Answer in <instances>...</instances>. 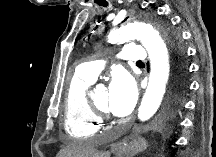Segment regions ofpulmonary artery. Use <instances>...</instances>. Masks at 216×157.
Returning a JSON list of instances; mask_svg holds the SVG:
<instances>
[{
  "label": "pulmonary artery",
  "mask_w": 216,
  "mask_h": 157,
  "mask_svg": "<svg viewBox=\"0 0 216 157\" xmlns=\"http://www.w3.org/2000/svg\"><path fill=\"white\" fill-rule=\"evenodd\" d=\"M146 51L140 45H127L120 53L117 54V58L123 61H143L146 59ZM104 68L103 60H92L79 65L76 69V73L84 78L95 81L97 76Z\"/></svg>",
  "instance_id": "e3ab8cb5"
}]
</instances>
